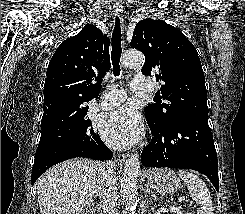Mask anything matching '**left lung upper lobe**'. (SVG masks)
<instances>
[{"label":"left lung upper lobe","instance_id":"1","mask_svg":"<svg viewBox=\"0 0 245 214\" xmlns=\"http://www.w3.org/2000/svg\"><path fill=\"white\" fill-rule=\"evenodd\" d=\"M130 46L145 55L142 73L165 82L157 93L159 104L145 107L147 121L167 128L186 117L208 115L201 62L194 45L180 30L160 20H141Z\"/></svg>","mask_w":245,"mask_h":214}]
</instances>
